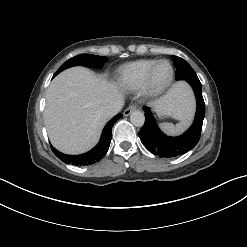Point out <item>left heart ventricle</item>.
<instances>
[{
    "instance_id": "obj_1",
    "label": "left heart ventricle",
    "mask_w": 247,
    "mask_h": 247,
    "mask_svg": "<svg viewBox=\"0 0 247 247\" xmlns=\"http://www.w3.org/2000/svg\"><path fill=\"white\" fill-rule=\"evenodd\" d=\"M170 75V66L167 62L159 64L155 73H154V82L156 84L163 83L167 80Z\"/></svg>"
}]
</instances>
